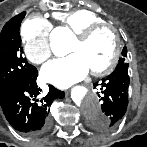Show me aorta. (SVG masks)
I'll use <instances>...</instances> for the list:
<instances>
[{
	"label": "aorta",
	"mask_w": 147,
	"mask_h": 147,
	"mask_svg": "<svg viewBox=\"0 0 147 147\" xmlns=\"http://www.w3.org/2000/svg\"><path fill=\"white\" fill-rule=\"evenodd\" d=\"M69 42L70 38L68 33L62 31L51 37L50 46L55 55L64 56L68 52ZM72 99L81 107L83 113L88 119L104 118V114L100 108L99 98L94 92L88 91L83 87H78L73 91Z\"/></svg>",
	"instance_id": "762f6f07"
}]
</instances>
